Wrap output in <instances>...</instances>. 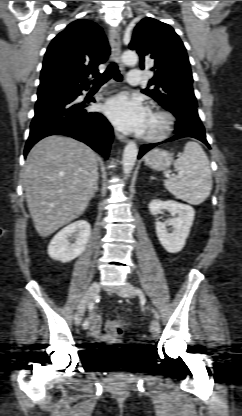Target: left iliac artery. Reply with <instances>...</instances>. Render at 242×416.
I'll return each instance as SVG.
<instances>
[{
	"label": "left iliac artery",
	"mask_w": 242,
	"mask_h": 416,
	"mask_svg": "<svg viewBox=\"0 0 242 416\" xmlns=\"http://www.w3.org/2000/svg\"><path fill=\"white\" fill-rule=\"evenodd\" d=\"M156 317L158 318V314L156 313Z\"/></svg>",
	"instance_id": "44dca946"
}]
</instances>
